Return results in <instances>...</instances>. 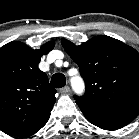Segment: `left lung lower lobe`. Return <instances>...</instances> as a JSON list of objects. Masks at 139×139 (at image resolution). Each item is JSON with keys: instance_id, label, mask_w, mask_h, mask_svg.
<instances>
[{"instance_id": "1", "label": "left lung lower lobe", "mask_w": 139, "mask_h": 139, "mask_svg": "<svg viewBox=\"0 0 139 139\" xmlns=\"http://www.w3.org/2000/svg\"><path fill=\"white\" fill-rule=\"evenodd\" d=\"M80 109L90 123L106 130L120 129L129 124L139 114V108L106 112Z\"/></svg>"}]
</instances>
